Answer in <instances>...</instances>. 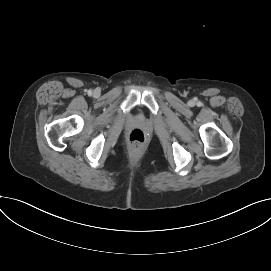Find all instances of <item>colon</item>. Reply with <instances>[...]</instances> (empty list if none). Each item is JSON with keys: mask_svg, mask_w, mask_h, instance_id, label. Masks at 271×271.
<instances>
[{"mask_svg": "<svg viewBox=\"0 0 271 271\" xmlns=\"http://www.w3.org/2000/svg\"><path fill=\"white\" fill-rule=\"evenodd\" d=\"M146 136L140 129H133L129 134V142L135 148H140L145 144Z\"/></svg>", "mask_w": 271, "mask_h": 271, "instance_id": "colon-1", "label": "colon"}]
</instances>
